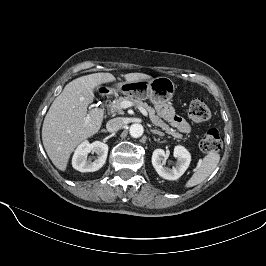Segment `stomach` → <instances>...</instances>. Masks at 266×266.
<instances>
[{"mask_svg":"<svg viewBox=\"0 0 266 266\" xmlns=\"http://www.w3.org/2000/svg\"><path fill=\"white\" fill-rule=\"evenodd\" d=\"M117 88L121 93L139 100L149 98L158 107L172 99L176 86L168 77H157L131 82L125 81L119 83Z\"/></svg>","mask_w":266,"mask_h":266,"instance_id":"0dacf381","label":"stomach"}]
</instances>
